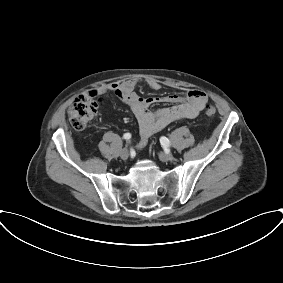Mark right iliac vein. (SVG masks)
Listing matches in <instances>:
<instances>
[{
    "label": "right iliac vein",
    "mask_w": 283,
    "mask_h": 283,
    "mask_svg": "<svg viewBox=\"0 0 283 283\" xmlns=\"http://www.w3.org/2000/svg\"><path fill=\"white\" fill-rule=\"evenodd\" d=\"M120 157L125 160L129 157V151L127 149H122L120 152Z\"/></svg>",
    "instance_id": "63e3f726"
}]
</instances>
